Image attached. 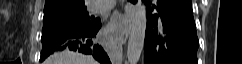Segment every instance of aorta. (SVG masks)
I'll list each match as a JSON object with an SVG mask.
<instances>
[{
  "label": "aorta",
  "instance_id": "aorta-1",
  "mask_svg": "<svg viewBox=\"0 0 242 64\" xmlns=\"http://www.w3.org/2000/svg\"><path fill=\"white\" fill-rule=\"evenodd\" d=\"M146 7L142 1L137 3V9L132 22V29L127 46L129 64H137L140 59L146 31Z\"/></svg>",
  "mask_w": 242,
  "mask_h": 64
}]
</instances>
